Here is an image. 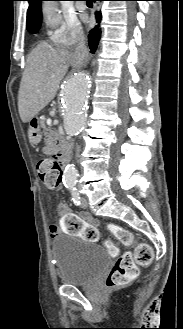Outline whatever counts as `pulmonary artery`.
I'll use <instances>...</instances> for the list:
<instances>
[{"label": "pulmonary artery", "instance_id": "pulmonary-artery-1", "mask_svg": "<svg viewBox=\"0 0 183 329\" xmlns=\"http://www.w3.org/2000/svg\"><path fill=\"white\" fill-rule=\"evenodd\" d=\"M76 8L78 11H85L86 10V5L85 4H77Z\"/></svg>", "mask_w": 183, "mask_h": 329}]
</instances>
